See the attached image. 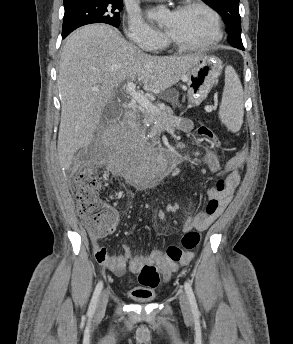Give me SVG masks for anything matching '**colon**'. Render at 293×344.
Here are the masks:
<instances>
[{
	"mask_svg": "<svg viewBox=\"0 0 293 344\" xmlns=\"http://www.w3.org/2000/svg\"><path fill=\"white\" fill-rule=\"evenodd\" d=\"M200 136L212 145H218L219 140L213 130L207 127L198 129ZM101 183L96 171L92 168L84 169L76 178L73 193L77 203V212L91 237H102L112 233L117 214L113 208L98 199L97 193ZM226 182L219 180L216 186L218 192H224ZM218 201L208 202L206 212L214 214L218 209ZM200 233L197 230L187 231L179 244L170 245L165 252V259L169 262H179L187 252L195 250L200 243ZM161 270L155 265L144 266L139 274V283L147 288H156L160 284Z\"/></svg>",
	"mask_w": 293,
	"mask_h": 344,
	"instance_id": "colon-1",
	"label": "colon"
}]
</instances>
